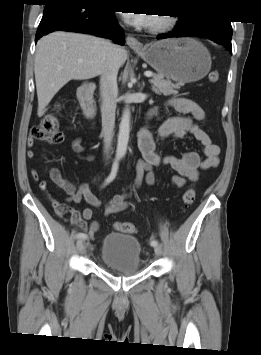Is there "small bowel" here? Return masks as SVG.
<instances>
[{
  "label": "small bowel",
  "instance_id": "small-bowel-1",
  "mask_svg": "<svg viewBox=\"0 0 261 355\" xmlns=\"http://www.w3.org/2000/svg\"><path fill=\"white\" fill-rule=\"evenodd\" d=\"M168 105L173 107L178 115L171 117L165 121L155 134L147 129H142L139 132V150L142 154V159L137 162V175L135 178L134 189L138 188L143 180L152 185L155 182L154 169L156 167L167 165L175 170V174L171 178V183L182 188L187 180L196 181L199 177L200 170H208L215 168L219 164L220 147L212 142L209 135L199 125L205 120V112L203 108L195 101L178 97L170 100ZM156 109H151L148 113L149 117L154 115ZM193 137L198 141L205 156L204 159L195 151H189L180 157L172 155H161L157 152L158 143H163L167 138L184 139ZM81 138H76L72 142L73 149L81 153L83 146ZM29 145H32V140H29ZM29 158L34 157V151L27 152ZM92 159L91 156L88 157ZM50 179L59 188L63 189L68 197V202L79 203L84 199L93 207H100L102 202L90 191L87 184H81L78 188L69 180L63 178L59 169L52 167L48 171ZM31 176L35 181L40 180L39 173L36 169L31 170ZM41 189H47V183L39 181ZM129 193H121L114 195L104 205L105 216H111L125 210L129 203L127 197ZM57 214L63 216L68 213L70 221L81 231L87 232L90 237H93L99 228V223L93 218V211L90 208H84L81 212L67 207L66 205L56 204Z\"/></svg>",
  "mask_w": 261,
  "mask_h": 355
}]
</instances>
